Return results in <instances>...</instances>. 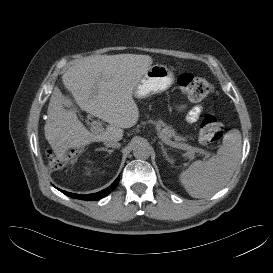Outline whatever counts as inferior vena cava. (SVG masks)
I'll return each mask as SVG.
<instances>
[{
	"mask_svg": "<svg viewBox=\"0 0 273 273\" xmlns=\"http://www.w3.org/2000/svg\"><path fill=\"white\" fill-rule=\"evenodd\" d=\"M103 143L107 147H112V148H118V147H120V143L118 142V140H116L114 138H106L103 141Z\"/></svg>",
	"mask_w": 273,
	"mask_h": 273,
	"instance_id": "obj_1",
	"label": "inferior vena cava"
}]
</instances>
